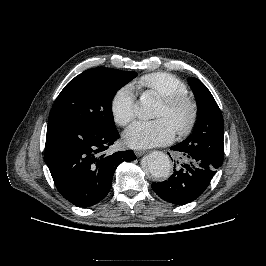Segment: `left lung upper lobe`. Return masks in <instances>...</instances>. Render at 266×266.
<instances>
[{
  "instance_id": "5c2ea615",
  "label": "left lung upper lobe",
  "mask_w": 266,
  "mask_h": 266,
  "mask_svg": "<svg viewBox=\"0 0 266 266\" xmlns=\"http://www.w3.org/2000/svg\"><path fill=\"white\" fill-rule=\"evenodd\" d=\"M198 104V119L193 133L177 144L184 152L223 163L224 122L221 111L207 87L196 78H189Z\"/></svg>"
}]
</instances>
